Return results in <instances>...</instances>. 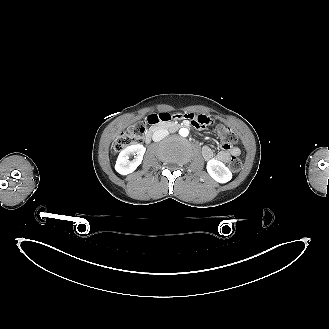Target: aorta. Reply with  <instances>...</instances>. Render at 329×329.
<instances>
[{"label":"aorta","mask_w":329,"mask_h":329,"mask_svg":"<svg viewBox=\"0 0 329 329\" xmlns=\"http://www.w3.org/2000/svg\"><path fill=\"white\" fill-rule=\"evenodd\" d=\"M189 134V130L187 128H181L179 130V135L182 137H187Z\"/></svg>","instance_id":"aorta-1"}]
</instances>
